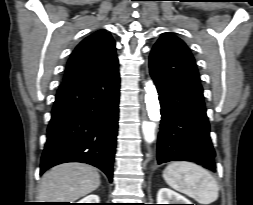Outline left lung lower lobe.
<instances>
[{"label":"left lung lower lobe","instance_id":"0a47b994","mask_svg":"<svg viewBox=\"0 0 253 205\" xmlns=\"http://www.w3.org/2000/svg\"><path fill=\"white\" fill-rule=\"evenodd\" d=\"M149 67L161 105L158 164L190 161L215 170L203 88L188 47L175 35H162L151 51Z\"/></svg>","mask_w":253,"mask_h":205}]
</instances>
